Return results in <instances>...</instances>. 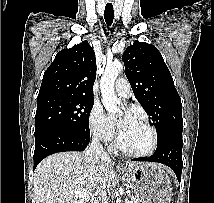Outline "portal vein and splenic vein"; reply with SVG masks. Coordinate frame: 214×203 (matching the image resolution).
<instances>
[{
    "mask_svg": "<svg viewBox=\"0 0 214 203\" xmlns=\"http://www.w3.org/2000/svg\"><path fill=\"white\" fill-rule=\"evenodd\" d=\"M76 196L79 197L81 200H84V201H88L90 199V197L88 196V193L85 189H80V190H77L75 192ZM125 202L128 203V200L125 199Z\"/></svg>",
    "mask_w": 214,
    "mask_h": 203,
    "instance_id": "obj_1",
    "label": "portal vein and splenic vein"
}]
</instances>
